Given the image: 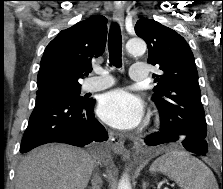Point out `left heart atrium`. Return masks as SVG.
<instances>
[{
	"instance_id": "obj_1",
	"label": "left heart atrium",
	"mask_w": 223,
	"mask_h": 189,
	"mask_svg": "<svg viewBox=\"0 0 223 189\" xmlns=\"http://www.w3.org/2000/svg\"><path fill=\"white\" fill-rule=\"evenodd\" d=\"M97 113L107 124L128 130L140 123L143 104L140 98L125 89H116L101 96Z\"/></svg>"
}]
</instances>
